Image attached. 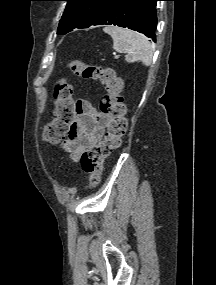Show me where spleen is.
Returning <instances> with one entry per match:
<instances>
[{"instance_id": "spleen-1", "label": "spleen", "mask_w": 216, "mask_h": 285, "mask_svg": "<svg viewBox=\"0 0 216 285\" xmlns=\"http://www.w3.org/2000/svg\"><path fill=\"white\" fill-rule=\"evenodd\" d=\"M104 32L113 39V49L125 53L128 63L142 62L145 66L152 63L153 49L148 38L141 33L121 27H105Z\"/></svg>"}]
</instances>
